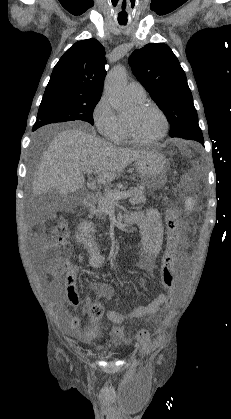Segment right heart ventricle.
<instances>
[{"label": "right heart ventricle", "instance_id": "obj_1", "mask_svg": "<svg viewBox=\"0 0 231 419\" xmlns=\"http://www.w3.org/2000/svg\"><path fill=\"white\" fill-rule=\"evenodd\" d=\"M132 99H133L136 103H141V102H143V100H139V99H136V98H133V97H132ZM120 118H121V121H122V123H123L124 133H123V136H122L119 140H123V139H125V138H126V136H127V131H126V119H125L124 117H120Z\"/></svg>", "mask_w": 231, "mask_h": 419}]
</instances>
